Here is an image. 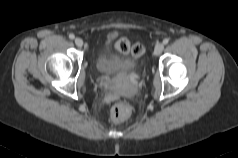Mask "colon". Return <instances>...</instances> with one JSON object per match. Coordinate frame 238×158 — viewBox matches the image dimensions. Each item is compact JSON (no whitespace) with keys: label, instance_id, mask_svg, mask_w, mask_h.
I'll return each mask as SVG.
<instances>
[{"label":"colon","instance_id":"obj_1","mask_svg":"<svg viewBox=\"0 0 238 158\" xmlns=\"http://www.w3.org/2000/svg\"><path fill=\"white\" fill-rule=\"evenodd\" d=\"M115 48L122 54H131L134 57H140L144 52V47L140 43L132 44L128 39L121 38L116 44ZM131 114V108L127 103L118 102L112 108L110 112L111 119L114 122H122L126 120Z\"/></svg>","mask_w":238,"mask_h":158}]
</instances>
